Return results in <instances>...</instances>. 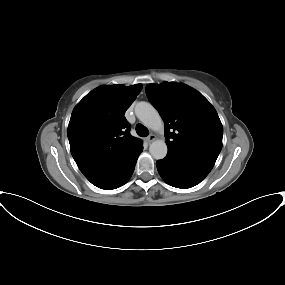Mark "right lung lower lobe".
<instances>
[{
    "label": "right lung lower lobe",
    "instance_id": "obj_1",
    "mask_svg": "<svg viewBox=\"0 0 285 285\" xmlns=\"http://www.w3.org/2000/svg\"><path fill=\"white\" fill-rule=\"evenodd\" d=\"M142 150L143 145L141 144L121 158L114 166L89 181L95 186L105 190L116 189L124 185L131 177L138 156Z\"/></svg>",
    "mask_w": 285,
    "mask_h": 285
}]
</instances>
